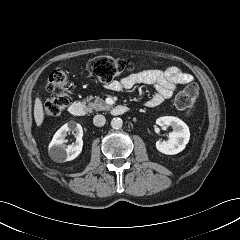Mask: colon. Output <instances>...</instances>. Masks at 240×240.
Masks as SVG:
<instances>
[{"label":"colon","instance_id":"5ec220e1","mask_svg":"<svg viewBox=\"0 0 240 240\" xmlns=\"http://www.w3.org/2000/svg\"><path fill=\"white\" fill-rule=\"evenodd\" d=\"M135 69L136 65L129 60L106 56L93 58L88 63L90 76L101 83H111L116 77L133 72ZM47 89L58 92L46 101L44 114L47 117L58 116L71 101L73 84L64 71L54 70L48 77ZM198 95V86L189 84L177 95L175 104L178 109L190 116L194 111Z\"/></svg>","mask_w":240,"mask_h":240}]
</instances>
